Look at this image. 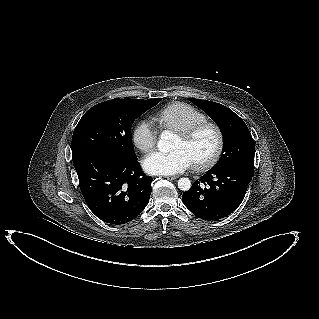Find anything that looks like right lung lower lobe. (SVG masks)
<instances>
[{
  "label": "right lung lower lobe",
  "mask_w": 319,
  "mask_h": 319,
  "mask_svg": "<svg viewBox=\"0 0 319 319\" xmlns=\"http://www.w3.org/2000/svg\"><path fill=\"white\" fill-rule=\"evenodd\" d=\"M73 164L88 207L104 222L125 224L148 204L152 177L142 173L136 156L123 159L112 151H93Z\"/></svg>",
  "instance_id": "98d812e1"
}]
</instances>
